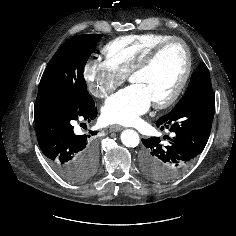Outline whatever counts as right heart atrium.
Segmentation results:
<instances>
[{
    "instance_id": "1",
    "label": "right heart atrium",
    "mask_w": 236,
    "mask_h": 236,
    "mask_svg": "<svg viewBox=\"0 0 236 236\" xmlns=\"http://www.w3.org/2000/svg\"><path fill=\"white\" fill-rule=\"evenodd\" d=\"M83 78L94 96L106 98L122 84L125 75L106 59L91 58L84 65Z\"/></svg>"
}]
</instances>
